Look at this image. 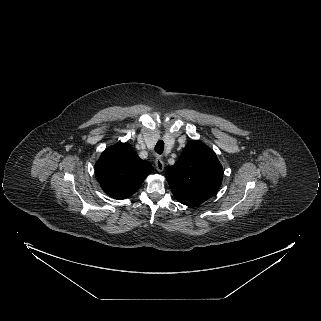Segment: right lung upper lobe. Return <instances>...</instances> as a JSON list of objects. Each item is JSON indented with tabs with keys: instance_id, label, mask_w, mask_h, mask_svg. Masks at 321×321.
<instances>
[{
	"instance_id": "cb5924a9",
	"label": "right lung upper lobe",
	"mask_w": 321,
	"mask_h": 321,
	"mask_svg": "<svg viewBox=\"0 0 321 321\" xmlns=\"http://www.w3.org/2000/svg\"><path fill=\"white\" fill-rule=\"evenodd\" d=\"M151 171V164L140 159L128 143H118L107 148L95 164L101 188L118 200L134 194Z\"/></svg>"
}]
</instances>
